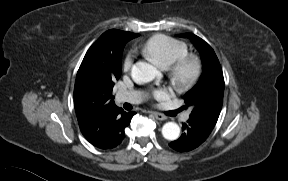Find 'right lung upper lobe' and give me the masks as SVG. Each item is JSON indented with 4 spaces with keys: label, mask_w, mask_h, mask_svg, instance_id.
<instances>
[{
    "label": "right lung upper lobe",
    "mask_w": 288,
    "mask_h": 181,
    "mask_svg": "<svg viewBox=\"0 0 288 181\" xmlns=\"http://www.w3.org/2000/svg\"><path fill=\"white\" fill-rule=\"evenodd\" d=\"M139 36L116 29L108 30L89 48L78 70L74 100L80 130L94 146L112 147L117 137L116 120L122 108L112 96L114 80L111 55L122 42Z\"/></svg>",
    "instance_id": "obj_1"
}]
</instances>
